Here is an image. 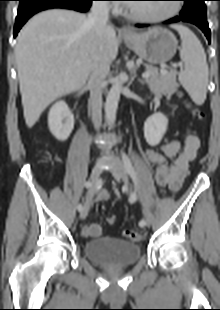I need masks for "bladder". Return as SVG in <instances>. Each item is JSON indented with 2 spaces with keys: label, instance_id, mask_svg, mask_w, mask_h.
Returning a JSON list of instances; mask_svg holds the SVG:
<instances>
[{
  "label": "bladder",
  "instance_id": "1",
  "mask_svg": "<svg viewBox=\"0 0 220 310\" xmlns=\"http://www.w3.org/2000/svg\"><path fill=\"white\" fill-rule=\"evenodd\" d=\"M83 251L88 259L107 267L133 265L141 256L139 244L114 237L86 241Z\"/></svg>",
  "mask_w": 220,
  "mask_h": 310
}]
</instances>
